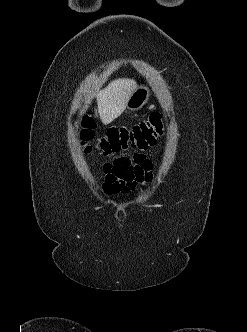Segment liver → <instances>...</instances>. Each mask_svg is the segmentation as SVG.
<instances>
[{"label": "liver", "mask_w": 247, "mask_h": 332, "mask_svg": "<svg viewBox=\"0 0 247 332\" xmlns=\"http://www.w3.org/2000/svg\"><path fill=\"white\" fill-rule=\"evenodd\" d=\"M137 84L133 79H116L97 93L98 112L103 124L107 125L118 118L126 109L128 99Z\"/></svg>", "instance_id": "liver-1"}]
</instances>
